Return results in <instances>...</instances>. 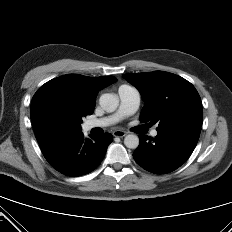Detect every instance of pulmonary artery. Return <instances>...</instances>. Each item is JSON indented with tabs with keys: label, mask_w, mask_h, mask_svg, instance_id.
I'll return each mask as SVG.
<instances>
[{
	"label": "pulmonary artery",
	"mask_w": 232,
	"mask_h": 232,
	"mask_svg": "<svg viewBox=\"0 0 232 232\" xmlns=\"http://www.w3.org/2000/svg\"><path fill=\"white\" fill-rule=\"evenodd\" d=\"M118 95L120 99V106L118 111L108 117L86 121L83 125L84 130L108 127L137 111L140 105L141 97L139 91L136 88L123 85L119 88ZM151 135L156 136L157 130L153 129L151 131Z\"/></svg>",
	"instance_id": "e3ab8cb5"
}]
</instances>
